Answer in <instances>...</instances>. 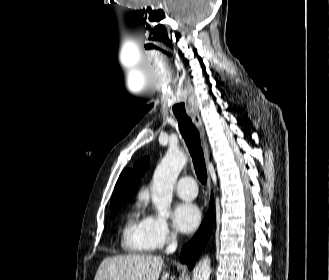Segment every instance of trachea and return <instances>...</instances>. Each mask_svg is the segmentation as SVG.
Returning <instances> with one entry per match:
<instances>
[{
    "label": "trachea",
    "mask_w": 329,
    "mask_h": 280,
    "mask_svg": "<svg viewBox=\"0 0 329 280\" xmlns=\"http://www.w3.org/2000/svg\"><path fill=\"white\" fill-rule=\"evenodd\" d=\"M175 116L178 120L180 132L191 154L197 178L202 184H205L207 181V170L199 132L187 114H175Z\"/></svg>",
    "instance_id": "trachea-1"
}]
</instances>
